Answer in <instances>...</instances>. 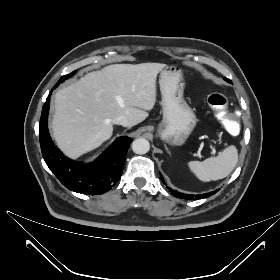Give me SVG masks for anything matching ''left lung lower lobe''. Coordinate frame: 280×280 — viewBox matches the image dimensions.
<instances>
[{
	"label": "left lung lower lobe",
	"instance_id": "obj_1",
	"mask_svg": "<svg viewBox=\"0 0 280 280\" xmlns=\"http://www.w3.org/2000/svg\"><path fill=\"white\" fill-rule=\"evenodd\" d=\"M160 177H161L163 183H165L161 173H160ZM170 191H171V194H173L175 197H179V198L186 199V200H195V199L206 198V197L211 196V195L216 193V191H214V192H210V193H206V194H201V195H190V194L180 193V192H178L176 190H172V189H170Z\"/></svg>",
	"mask_w": 280,
	"mask_h": 280
}]
</instances>
